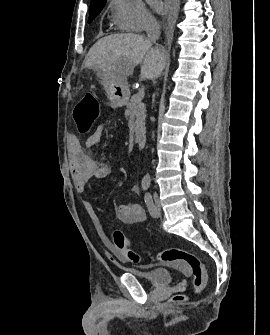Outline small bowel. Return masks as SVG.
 Instances as JSON below:
<instances>
[{
    "label": "small bowel",
    "instance_id": "obj_1",
    "mask_svg": "<svg viewBox=\"0 0 270 335\" xmlns=\"http://www.w3.org/2000/svg\"><path fill=\"white\" fill-rule=\"evenodd\" d=\"M103 126L99 125L97 129L86 140L88 148L96 147L102 138ZM69 168L78 193H84L87 183L93 179H102L109 176L112 172V165L108 161L94 160L83 154L82 145L75 135L69 137L68 147ZM133 191L138 193L139 188L135 186ZM87 212L97 220V214L89 201L84 202ZM115 214L117 219L126 224L134 225L146 220L144 209L139 204H118L114 203ZM100 227L102 225L99 222Z\"/></svg>",
    "mask_w": 270,
    "mask_h": 335
}]
</instances>
